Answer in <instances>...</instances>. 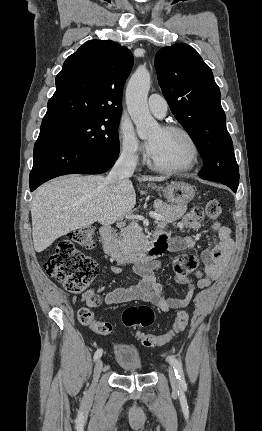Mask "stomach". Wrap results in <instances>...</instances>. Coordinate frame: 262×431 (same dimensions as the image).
Returning a JSON list of instances; mask_svg holds the SVG:
<instances>
[{
  "label": "stomach",
  "mask_w": 262,
  "mask_h": 431,
  "mask_svg": "<svg viewBox=\"0 0 262 431\" xmlns=\"http://www.w3.org/2000/svg\"><path fill=\"white\" fill-rule=\"evenodd\" d=\"M164 197L168 202L176 205H186L195 195L193 186L183 181H175L162 188Z\"/></svg>",
  "instance_id": "1"
}]
</instances>
